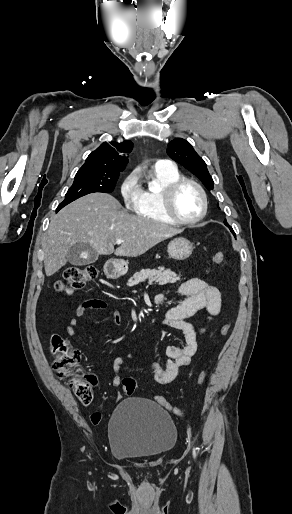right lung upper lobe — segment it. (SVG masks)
<instances>
[{"instance_id": "cb5924a9", "label": "right lung upper lobe", "mask_w": 292, "mask_h": 514, "mask_svg": "<svg viewBox=\"0 0 292 514\" xmlns=\"http://www.w3.org/2000/svg\"><path fill=\"white\" fill-rule=\"evenodd\" d=\"M133 149L131 141L102 143L86 159L76 175L119 177L128 163L126 153Z\"/></svg>"}]
</instances>
